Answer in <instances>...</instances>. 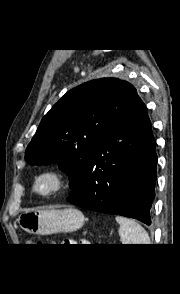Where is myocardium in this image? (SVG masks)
I'll return each instance as SVG.
<instances>
[{
    "label": "myocardium",
    "mask_w": 180,
    "mask_h": 294,
    "mask_svg": "<svg viewBox=\"0 0 180 294\" xmlns=\"http://www.w3.org/2000/svg\"><path fill=\"white\" fill-rule=\"evenodd\" d=\"M45 179H50L52 181V186L48 189H42L40 187V183ZM65 184L66 177L63 172L56 168H50L40 172L34 178L32 190L41 197H48L62 190Z\"/></svg>",
    "instance_id": "f54148a6"
}]
</instances>
